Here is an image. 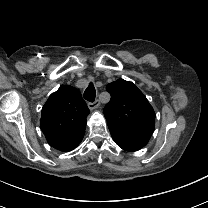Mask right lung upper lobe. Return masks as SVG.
I'll use <instances>...</instances> for the list:
<instances>
[{
	"label": "right lung upper lobe",
	"mask_w": 208,
	"mask_h": 208,
	"mask_svg": "<svg viewBox=\"0 0 208 208\" xmlns=\"http://www.w3.org/2000/svg\"><path fill=\"white\" fill-rule=\"evenodd\" d=\"M89 109L81 93L69 85H61L42 108L41 130L54 147L83 134Z\"/></svg>",
	"instance_id": "cb5924a9"
}]
</instances>
